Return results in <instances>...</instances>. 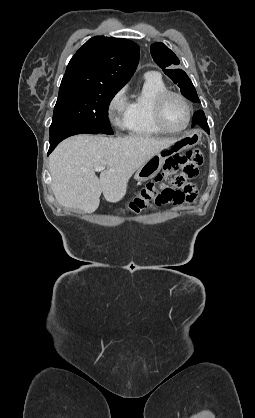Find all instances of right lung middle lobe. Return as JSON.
<instances>
[{
    "instance_id": "obj_1",
    "label": "right lung middle lobe",
    "mask_w": 255,
    "mask_h": 418,
    "mask_svg": "<svg viewBox=\"0 0 255 418\" xmlns=\"http://www.w3.org/2000/svg\"><path fill=\"white\" fill-rule=\"evenodd\" d=\"M118 90L103 86L60 85L50 134L58 130L83 128L112 135L108 107Z\"/></svg>"
}]
</instances>
